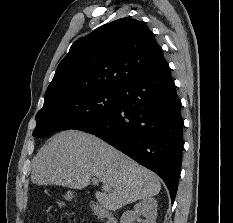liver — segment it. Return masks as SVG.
Returning a JSON list of instances; mask_svg holds the SVG:
<instances>
[{"label": "liver", "mask_w": 233, "mask_h": 223, "mask_svg": "<svg viewBox=\"0 0 233 223\" xmlns=\"http://www.w3.org/2000/svg\"><path fill=\"white\" fill-rule=\"evenodd\" d=\"M98 177L106 191L95 197L106 209L153 197L161 189L158 175L142 167L106 141L84 131H60L32 159L31 181L36 185H63L83 189Z\"/></svg>", "instance_id": "liver-1"}]
</instances>
